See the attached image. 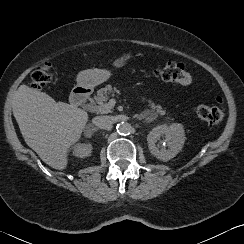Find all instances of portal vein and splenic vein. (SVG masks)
Wrapping results in <instances>:
<instances>
[{
	"mask_svg": "<svg viewBox=\"0 0 244 244\" xmlns=\"http://www.w3.org/2000/svg\"><path fill=\"white\" fill-rule=\"evenodd\" d=\"M107 105L110 106V107H114L115 101L114 100H110Z\"/></svg>",
	"mask_w": 244,
	"mask_h": 244,
	"instance_id": "18ae733b",
	"label": "portal vein and splenic vein"
}]
</instances>
